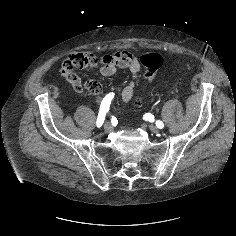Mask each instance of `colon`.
<instances>
[{
  "label": "colon",
  "mask_w": 236,
  "mask_h": 236,
  "mask_svg": "<svg viewBox=\"0 0 236 236\" xmlns=\"http://www.w3.org/2000/svg\"><path fill=\"white\" fill-rule=\"evenodd\" d=\"M140 61L145 68V77L148 81L153 80L157 71L161 68L163 64V57L155 52H148L141 56ZM188 68V66H187ZM73 69L69 62H64L62 64L61 72L62 74L67 73ZM139 105V102H137Z\"/></svg>",
  "instance_id": "obj_1"
}]
</instances>
